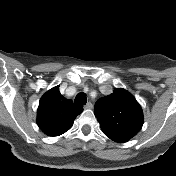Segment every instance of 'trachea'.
<instances>
[{"instance_id":"trachea-1","label":"trachea","mask_w":176,"mask_h":176,"mask_svg":"<svg viewBox=\"0 0 176 176\" xmlns=\"http://www.w3.org/2000/svg\"><path fill=\"white\" fill-rule=\"evenodd\" d=\"M75 103L77 104H86L87 103V97L84 93H79L76 97H75Z\"/></svg>"}]
</instances>
